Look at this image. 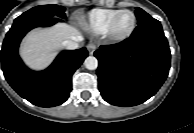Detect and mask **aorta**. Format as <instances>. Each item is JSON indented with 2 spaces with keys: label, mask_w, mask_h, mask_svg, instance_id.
Here are the masks:
<instances>
[{
  "label": "aorta",
  "mask_w": 194,
  "mask_h": 133,
  "mask_svg": "<svg viewBox=\"0 0 194 133\" xmlns=\"http://www.w3.org/2000/svg\"><path fill=\"white\" fill-rule=\"evenodd\" d=\"M84 65L89 70H95L98 67V60L94 56H88L84 61Z\"/></svg>",
  "instance_id": "1"
}]
</instances>
